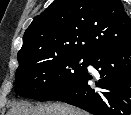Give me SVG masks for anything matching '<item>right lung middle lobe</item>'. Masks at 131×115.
I'll return each mask as SVG.
<instances>
[{
	"instance_id": "right-lung-middle-lobe-1",
	"label": "right lung middle lobe",
	"mask_w": 131,
	"mask_h": 115,
	"mask_svg": "<svg viewBox=\"0 0 131 115\" xmlns=\"http://www.w3.org/2000/svg\"><path fill=\"white\" fill-rule=\"evenodd\" d=\"M84 61L79 64V61ZM87 58L59 53L17 70L15 92L38 101L55 100L85 70ZM82 65V66H81Z\"/></svg>"
}]
</instances>
